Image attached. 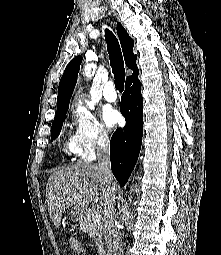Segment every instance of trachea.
Segmentation results:
<instances>
[{
  "mask_svg": "<svg viewBox=\"0 0 221 255\" xmlns=\"http://www.w3.org/2000/svg\"><path fill=\"white\" fill-rule=\"evenodd\" d=\"M105 39L114 74L115 87L118 91L122 92L124 90L125 69L120 45L115 35L108 29L105 30Z\"/></svg>",
  "mask_w": 221,
  "mask_h": 255,
  "instance_id": "trachea-1",
  "label": "trachea"
}]
</instances>
